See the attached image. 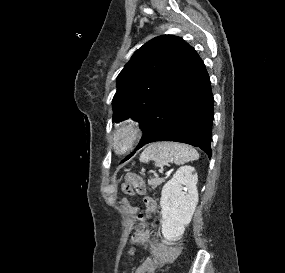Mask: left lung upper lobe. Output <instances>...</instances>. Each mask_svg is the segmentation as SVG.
<instances>
[{
	"label": "left lung upper lobe",
	"mask_w": 285,
	"mask_h": 273,
	"mask_svg": "<svg viewBox=\"0 0 285 273\" xmlns=\"http://www.w3.org/2000/svg\"><path fill=\"white\" fill-rule=\"evenodd\" d=\"M191 48L173 35L155 37L140 47L117 77L113 122H140L176 82Z\"/></svg>",
	"instance_id": "obj_1"
}]
</instances>
